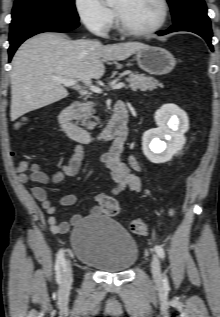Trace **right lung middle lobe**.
Returning <instances> with one entry per match:
<instances>
[{"label": "right lung middle lobe", "instance_id": "dd1d6c3e", "mask_svg": "<svg viewBox=\"0 0 220 317\" xmlns=\"http://www.w3.org/2000/svg\"><path fill=\"white\" fill-rule=\"evenodd\" d=\"M75 0H16L12 10L11 25L19 21L43 15H53L78 21Z\"/></svg>", "mask_w": 220, "mask_h": 317}]
</instances>
